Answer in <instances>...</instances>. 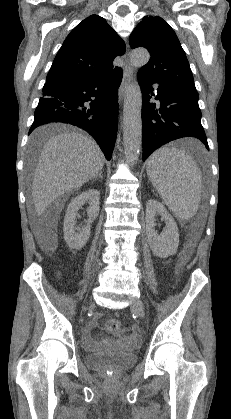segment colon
<instances>
[{
	"label": "colon",
	"instance_id": "1",
	"mask_svg": "<svg viewBox=\"0 0 231 419\" xmlns=\"http://www.w3.org/2000/svg\"><path fill=\"white\" fill-rule=\"evenodd\" d=\"M107 331L115 336H119L123 333L124 329L121 322L116 318H111L106 322Z\"/></svg>",
	"mask_w": 231,
	"mask_h": 419
}]
</instances>
